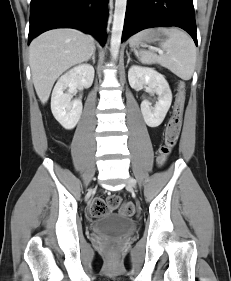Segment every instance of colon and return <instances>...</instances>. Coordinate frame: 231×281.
<instances>
[{"instance_id":"colon-1","label":"colon","mask_w":231,"mask_h":281,"mask_svg":"<svg viewBox=\"0 0 231 281\" xmlns=\"http://www.w3.org/2000/svg\"><path fill=\"white\" fill-rule=\"evenodd\" d=\"M185 98V85L184 83L180 82L174 103L173 114L165 128L164 143L159 150L157 162L160 166H163L166 163L177 143L181 130ZM117 209H120V211L127 216H132L136 212V207L132 202H123L122 198L118 195H112L106 200L102 198H95L91 201L89 207L90 214L94 217L103 215L110 210Z\"/></svg>"}]
</instances>
